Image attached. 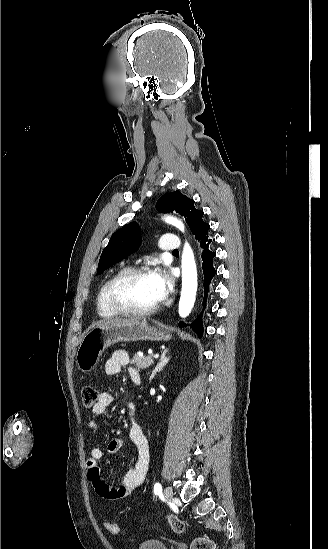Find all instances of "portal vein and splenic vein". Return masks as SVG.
Masks as SVG:
<instances>
[{"mask_svg":"<svg viewBox=\"0 0 328 549\" xmlns=\"http://www.w3.org/2000/svg\"><path fill=\"white\" fill-rule=\"evenodd\" d=\"M154 359H157L158 354H153Z\"/></svg>","mask_w":328,"mask_h":549,"instance_id":"obj_1","label":"portal vein and splenic vein"}]
</instances>
